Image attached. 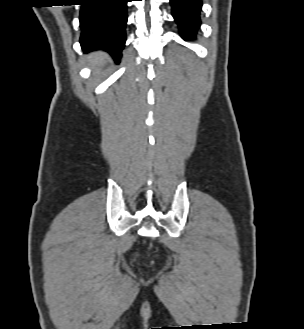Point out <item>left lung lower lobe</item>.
<instances>
[{
    "label": "left lung lower lobe",
    "instance_id": "obj_1",
    "mask_svg": "<svg viewBox=\"0 0 304 329\" xmlns=\"http://www.w3.org/2000/svg\"><path fill=\"white\" fill-rule=\"evenodd\" d=\"M172 15L179 25L180 34L184 40L195 39L200 26L199 13L201 0H170Z\"/></svg>",
    "mask_w": 304,
    "mask_h": 329
}]
</instances>
